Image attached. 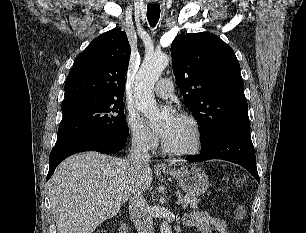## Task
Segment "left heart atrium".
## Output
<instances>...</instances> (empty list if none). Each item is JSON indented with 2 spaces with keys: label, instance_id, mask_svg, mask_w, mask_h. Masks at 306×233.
I'll list each match as a JSON object with an SVG mask.
<instances>
[{
  "label": "left heart atrium",
  "instance_id": "obj_1",
  "mask_svg": "<svg viewBox=\"0 0 306 233\" xmlns=\"http://www.w3.org/2000/svg\"><path fill=\"white\" fill-rule=\"evenodd\" d=\"M177 118H178V117H172V118L170 119L169 124H168L164 129L161 130L160 135H161V137H162L163 139H165V138L168 136V134H169L171 128L173 127V125L175 124Z\"/></svg>",
  "mask_w": 306,
  "mask_h": 233
}]
</instances>
